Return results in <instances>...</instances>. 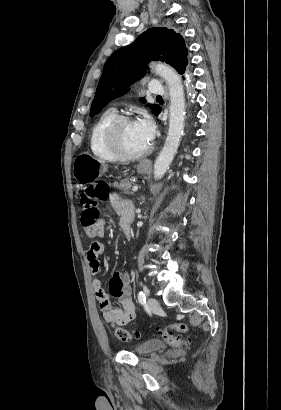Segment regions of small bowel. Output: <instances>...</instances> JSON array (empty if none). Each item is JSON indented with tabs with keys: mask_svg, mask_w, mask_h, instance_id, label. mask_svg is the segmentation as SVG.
I'll use <instances>...</instances> for the list:
<instances>
[{
	"mask_svg": "<svg viewBox=\"0 0 281 410\" xmlns=\"http://www.w3.org/2000/svg\"><path fill=\"white\" fill-rule=\"evenodd\" d=\"M110 208L116 214L121 216V226H129L132 220V204L116 194L110 196ZM106 229V220L100 219L96 226L98 236H103ZM105 245L102 241L91 243L87 251V259L90 270L94 275L93 288L95 297L99 302L103 318L106 322L114 324H126L136 318V309L131 298L130 276L128 273L115 271L109 282L108 294L103 288L100 279L97 277L100 272L99 257L104 253ZM110 295L114 297L120 307H113L110 301Z\"/></svg>",
	"mask_w": 281,
	"mask_h": 410,
	"instance_id": "c3829d8e",
	"label": "small bowel"
}]
</instances>
